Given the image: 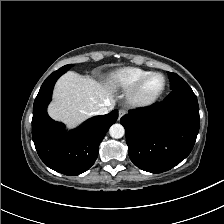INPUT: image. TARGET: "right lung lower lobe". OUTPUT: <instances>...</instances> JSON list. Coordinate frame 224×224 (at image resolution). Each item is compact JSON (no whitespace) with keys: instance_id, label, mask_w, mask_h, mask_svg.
I'll return each mask as SVG.
<instances>
[{"instance_id":"obj_1","label":"right lung lower lobe","mask_w":224,"mask_h":224,"mask_svg":"<svg viewBox=\"0 0 224 224\" xmlns=\"http://www.w3.org/2000/svg\"><path fill=\"white\" fill-rule=\"evenodd\" d=\"M65 72L60 69L53 72L39 90L33 106L32 139L39 157L49 168L73 176L94 164L99 144L117 120L118 110L93 117L77 129L65 132L64 125L47 114L54 84Z\"/></svg>"}]
</instances>
